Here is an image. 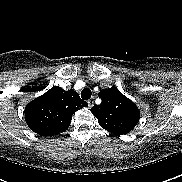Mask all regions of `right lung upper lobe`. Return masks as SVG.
Segmentation results:
<instances>
[{"label": "right lung upper lobe", "mask_w": 182, "mask_h": 182, "mask_svg": "<svg viewBox=\"0 0 182 182\" xmlns=\"http://www.w3.org/2000/svg\"><path fill=\"white\" fill-rule=\"evenodd\" d=\"M88 106L74 90L65 91L54 86L25 107L28 127L41 136L57 135L67 130L72 115Z\"/></svg>", "instance_id": "1"}]
</instances>
